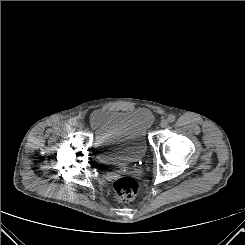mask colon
Segmentation results:
<instances>
[{"label": "colon", "mask_w": 245, "mask_h": 245, "mask_svg": "<svg viewBox=\"0 0 245 245\" xmlns=\"http://www.w3.org/2000/svg\"><path fill=\"white\" fill-rule=\"evenodd\" d=\"M116 197L123 202L134 199L138 192V183L135 179L124 176L117 179L113 184Z\"/></svg>", "instance_id": "obj_1"}]
</instances>
